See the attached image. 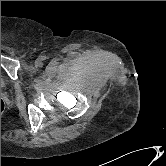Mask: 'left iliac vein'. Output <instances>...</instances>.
<instances>
[{
  "instance_id": "1",
  "label": "left iliac vein",
  "mask_w": 166,
  "mask_h": 166,
  "mask_svg": "<svg viewBox=\"0 0 166 166\" xmlns=\"http://www.w3.org/2000/svg\"><path fill=\"white\" fill-rule=\"evenodd\" d=\"M41 65H42L41 60H40V59H37V60L35 61V66H36V67H40Z\"/></svg>"
}]
</instances>
